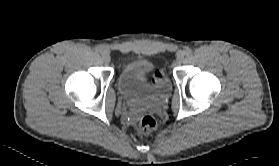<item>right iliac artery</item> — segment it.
<instances>
[{
  "label": "right iliac artery",
  "instance_id": "obj_1",
  "mask_svg": "<svg viewBox=\"0 0 279 166\" xmlns=\"http://www.w3.org/2000/svg\"><path fill=\"white\" fill-rule=\"evenodd\" d=\"M95 52L98 54V53H102V48L100 47H96L95 48Z\"/></svg>",
  "mask_w": 279,
  "mask_h": 166
}]
</instances>
